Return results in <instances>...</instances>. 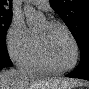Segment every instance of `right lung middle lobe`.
Wrapping results in <instances>:
<instances>
[{
    "label": "right lung middle lobe",
    "instance_id": "obj_1",
    "mask_svg": "<svg viewBox=\"0 0 89 89\" xmlns=\"http://www.w3.org/2000/svg\"><path fill=\"white\" fill-rule=\"evenodd\" d=\"M12 11L0 6V49L6 44V32L11 23Z\"/></svg>",
    "mask_w": 89,
    "mask_h": 89
}]
</instances>
